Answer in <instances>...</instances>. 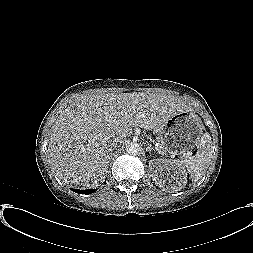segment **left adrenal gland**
<instances>
[{"label":"left adrenal gland","mask_w":253,"mask_h":253,"mask_svg":"<svg viewBox=\"0 0 253 253\" xmlns=\"http://www.w3.org/2000/svg\"><path fill=\"white\" fill-rule=\"evenodd\" d=\"M147 148H148V151H149V152H152V151L154 150V148L151 146V144H148V147H147Z\"/></svg>","instance_id":"a2214340"}]
</instances>
